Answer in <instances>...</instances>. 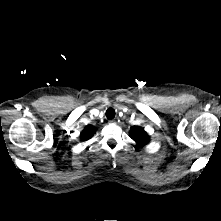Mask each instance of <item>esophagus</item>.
Here are the masks:
<instances>
[{
    "label": "esophagus",
    "mask_w": 221,
    "mask_h": 221,
    "mask_svg": "<svg viewBox=\"0 0 221 221\" xmlns=\"http://www.w3.org/2000/svg\"><path fill=\"white\" fill-rule=\"evenodd\" d=\"M110 123H116V121L115 120H110Z\"/></svg>",
    "instance_id": "34e87169"
}]
</instances>
